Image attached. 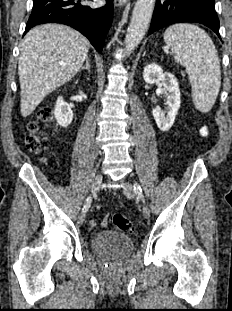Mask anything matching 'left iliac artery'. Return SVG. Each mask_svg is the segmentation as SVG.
<instances>
[{
  "label": "left iliac artery",
  "instance_id": "44dca946",
  "mask_svg": "<svg viewBox=\"0 0 232 311\" xmlns=\"http://www.w3.org/2000/svg\"><path fill=\"white\" fill-rule=\"evenodd\" d=\"M134 191L137 195L142 197V189L139 184L137 183L134 184Z\"/></svg>",
  "mask_w": 232,
  "mask_h": 311
}]
</instances>
